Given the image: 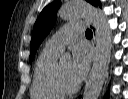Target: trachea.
Masks as SVG:
<instances>
[{"mask_svg": "<svg viewBox=\"0 0 128 99\" xmlns=\"http://www.w3.org/2000/svg\"><path fill=\"white\" fill-rule=\"evenodd\" d=\"M85 34H86V35H91V36H92V31H91L90 29H87Z\"/></svg>", "mask_w": 128, "mask_h": 99, "instance_id": "1", "label": "trachea"}]
</instances>
